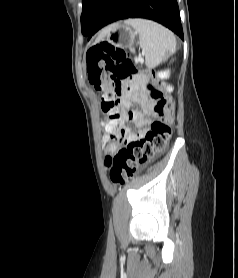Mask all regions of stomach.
<instances>
[{
  "label": "stomach",
  "instance_id": "stomach-1",
  "mask_svg": "<svg viewBox=\"0 0 238 278\" xmlns=\"http://www.w3.org/2000/svg\"><path fill=\"white\" fill-rule=\"evenodd\" d=\"M105 30L106 41L119 48H132L137 32L126 23H114Z\"/></svg>",
  "mask_w": 238,
  "mask_h": 278
}]
</instances>
